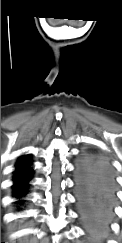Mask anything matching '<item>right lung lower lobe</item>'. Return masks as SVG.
Here are the masks:
<instances>
[{
	"label": "right lung lower lobe",
	"mask_w": 122,
	"mask_h": 243,
	"mask_svg": "<svg viewBox=\"0 0 122 243\" xmlns=\"http://www.w3.org/2000/svg\"><path fill=\"white\" fill-rule=\"evenodd\" d=\"M32 169L27 166L18 169L14 172L13 176V193L14 197L21 198L26 194V188L29 186V181L31 180Z\"/></svg>",
	"instance_id": "98d812e1"
}]
</instances>
